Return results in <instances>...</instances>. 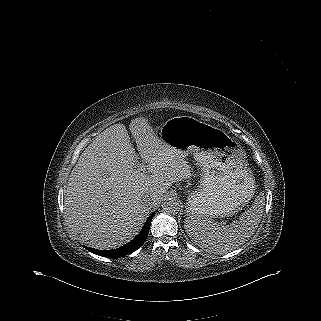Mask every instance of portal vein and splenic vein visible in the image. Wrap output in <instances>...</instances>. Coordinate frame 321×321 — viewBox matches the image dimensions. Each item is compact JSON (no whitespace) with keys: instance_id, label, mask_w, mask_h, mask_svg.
<instances>
[{"instance_id":"portal-vein-and-splenic-vein-1","label":"portal vein and splenic vein","mask_w":321,"mask_h":321,"mask_svg":"<svg viewBox=\"0 0 321 321\" xmlns=\"http://www.w3.org/2000/svg\"><path fill=\"white\" fill-rule=\"evenodd\" d=\"M139 170L140 171H145L146 170L145 164L143 162L139 164Z\"/></svg>"}]
</instances>
